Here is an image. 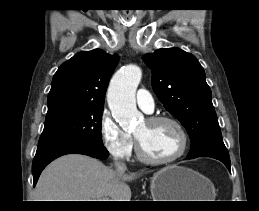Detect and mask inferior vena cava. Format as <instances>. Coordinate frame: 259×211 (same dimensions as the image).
Returning a JSON list of instances; mask_svg holds the SVG:
<instances>
[{"instance_id": "602c4592", "label": "inferior vena cava", "mask_w": 259, "mask_h": 211, "mask_svg": "<svg viewBox=\"0 0 259 211\" xmlns=\"http://www.w3.org/2000/svg\"><path fill=\"white\" fill-rule=\"evenodd\" d=\"M116 170L120 173H124L127 169L126 164L122 161L115 160Z\"/></svg>"}]
</instances>
